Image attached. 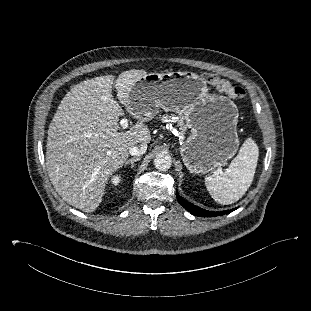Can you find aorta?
Instances as JSON below:
<instances>
[{"label":"aorta","instance_id":"aorta-1","mask_svg":"<svg viewBox=\"0 0 311 311\" xmlns=\"http://www.w3.org/2000/svg\"><path fill=\"white\" fill-rule=\"evenodd\" d=\"M154 165L159 170H167L172 165V160L169 154L159 153L154 158Z\"/></svg>","mask_w":311,"mask_h":311}]
</instances>
